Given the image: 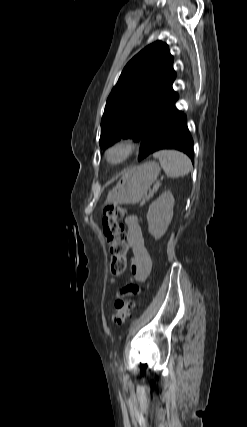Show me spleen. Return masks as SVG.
I'll list each match as a JSON object with an SVG mask.
<instances>
[{
    "mask_svg": "<svg viewBox=\"0 0 247 427\" xmlns=\"http://www.w3.org/2000/svg\"><path fill=\"white\" fill-rule=\"evenodd\" d=\"M167 176L176 178L187 175L192 170L188 156L176 150H161L154 154Z\"/></svg>",
    "mask_w": 247,
    "mask_h": 427,
    "instance_id": "1",
    "label": "spleen"
}]
</instances>
